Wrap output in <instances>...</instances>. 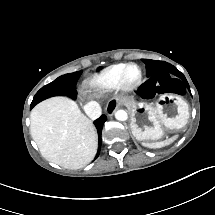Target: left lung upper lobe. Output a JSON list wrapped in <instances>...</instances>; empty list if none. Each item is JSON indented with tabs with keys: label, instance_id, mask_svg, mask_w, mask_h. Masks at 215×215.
Segmentation results:
<instances>
[{
	"label": "left lung upper lobe",
	"instance_id": "5c2ea615",
	"mask_svg": "<svg viewBox=\"0 0 215 215\" xmlns=\"http://www.w3.org/2000/svg\"><path fill=\"white\" fill-rule=\"evenodd\" d=\"M146 64V76L152 77L159 73H171L184 80L183 74L178 71L174 66L164 61H154L149 59H142Z\"/></svg>",
	"mask_w": 215,
	"mask_h": 215
}]
</instances>
